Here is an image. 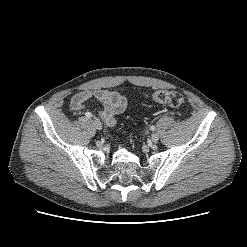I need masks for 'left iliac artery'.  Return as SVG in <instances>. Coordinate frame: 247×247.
Instances as JSON below:
<instances>
[{
    "instance_id": "obj_1",
    "label": "left iliac artery",
    "mask_w": 247,
    "mask_h": 247,
    "mask_svg": "<svg viewBox=\"0 0 247 247\" xmlns=\"http://www.w3.org/2000/svg\"><path fill=\"white\" fill-rule=\"evenodd\" d=\"M155 129H156L155 126L150 127V130H152V131H154Z\"/></svg>"
}]
</instances>
